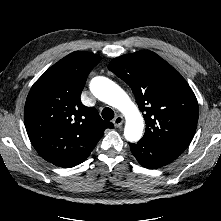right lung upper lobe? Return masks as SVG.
I'll return each instance as SVG.
<instances>
[{
  "instance_id": "cb5924a9",
  "label": "right lung upper lobe",
  "mask_w": 221,
  "mask_h": 221,
  "mask_svg": "<svg viewBox=\"0 0 221 221\" xmlns=\"http://www.w3.org/2000/svg\"><path fill=\"white\" fill-rule=\"evenodd\" d=\"M101 57L75 51L50 67L32 86L24 121L29 139L46 161L74 167L90 155L111 122L80 100L89 72Z\"/></svg>"
}]
</instances>
